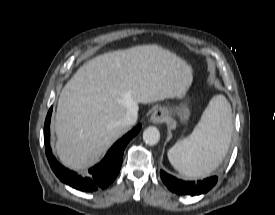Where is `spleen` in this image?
Wrapping results in <instances>:
<instances>
[{"instance_id": "1", "label": "spleen", "mask_w": 275, "mask_h": 215, "mask_svg": "<svg viewBox=\"0 0 275 215\" xmlns=\"http://www.w3.org/2000/svg\"><path fill=\"white\" fill-rule=\"evenodd\" d=\"M233 131L231 107L222 95L214 96L192 134L168 151V159L180 173L205 177L226 156Z\"/></svg>"}]
</instances>
